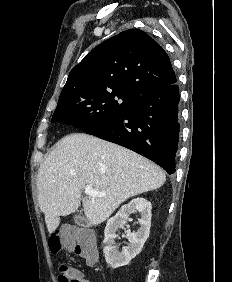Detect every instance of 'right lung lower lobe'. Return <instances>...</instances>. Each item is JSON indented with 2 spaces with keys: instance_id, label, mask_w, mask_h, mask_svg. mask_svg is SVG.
<instances>
[{
  "instance_id": "right-lung-lower-lobe-1",
  "label": "right lung lower lobe",
  "mask_w": 232,
  "mask_h": 282,
  "mask_svg": "<svg viewBox=\"0 0 232 282\" xmlns=\"http://www.w3.org/2000/svg\"><path fill=\"white\" fill-rule=\"evenodd\" d=\"M179 99L175 81L146 91L130 111L83 131L131 149L173 174L180 131Z\"/></svg>"
}]
</instances>
